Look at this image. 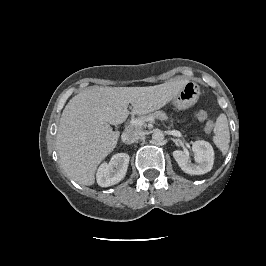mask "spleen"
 Here are the masks:
<instances>
[{"instance_id": "obj_1", "label": "spleen", "mask_w": 266, "mask_h": 266, "mask_svg": "<svg viewBox=\"0 0 266 266\" xmlns=\"http://www.w3.org/2000/svg\"><path fill=\"white\" fill-rule=\"evenodd\" d=\"M214 134V144L219 148L222 154L225 155L228 152L230 142L228 121L225 114H220L217 118Z\"/></svg>"}]
</instances>
